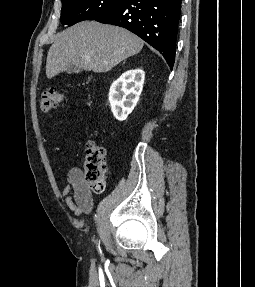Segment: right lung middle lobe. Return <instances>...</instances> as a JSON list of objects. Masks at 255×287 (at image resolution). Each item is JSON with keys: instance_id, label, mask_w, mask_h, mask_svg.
<instances>
[{"instance_id": "obj_1", "label": "right lung middle lobe", "mask_w": 255, "mask_h": 287, "mask_svg": "<svg viewBox=\"0 0 255 287\" xmlns=\"http://www.w3.org/2000/svg\"><path fill=\"white\" fill-rule=\"evenodd\" d=\"M60 21L63 25L72 26L80 21L94 20L101 13L115 7L124 0H61Z\"/></svg>"}]
</instances>
